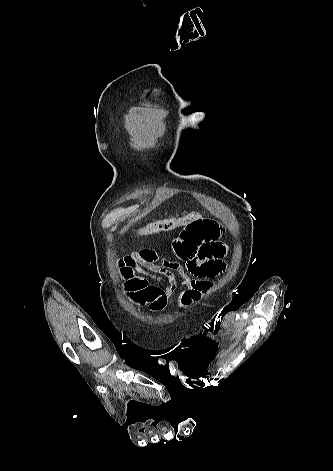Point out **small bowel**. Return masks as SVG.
Returning a JSON list of instances; mask_svg holds the SVG:
<instances>
[{
	"mask_svg": "<svg viewBox=\"0 0 333 471\" xmlns=\"http://www.w3.org/2000/svg\"><path fill=\"white\" fill-rule=\"evenodd\" d=\"M221 234L217 221L199 217L173 241L174 253L184 264L149 249L124 256L117 270L125 297L137 306H147L153 314L165 309L179 286L183 287L177 299L180 308L201 300L211 289L212 279L225 269Z\"/></svg>",
	"mask_w": 333,
	"mask_h": 471,
	"instance_id": "small-bowel-1",
	"label": "small bowel"
}]
</instances>
